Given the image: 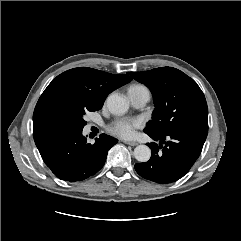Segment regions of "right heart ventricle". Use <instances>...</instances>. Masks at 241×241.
<instances>
[{
    "label": "right heart ventricle",
    "mask_w": 241,
    "mask_h": 241,
    "mask_svg": "<svg viewBox=\"0 0 241 241\" xmlns=\"http://www.w3.org/2000/svg\"><path fill=\"white\" fill-rule=\"evenodd\" d=\"M136 88H144V86L140 85V84H134V85L130 86L129 89H136Z\"/></svg>",
    "instance_id": "right-heart-ventricle-1"
}]
</instances>
